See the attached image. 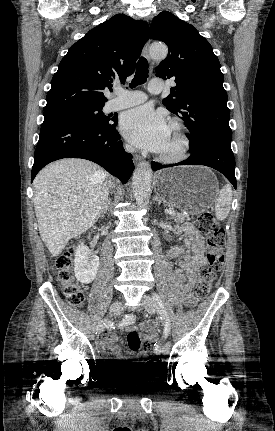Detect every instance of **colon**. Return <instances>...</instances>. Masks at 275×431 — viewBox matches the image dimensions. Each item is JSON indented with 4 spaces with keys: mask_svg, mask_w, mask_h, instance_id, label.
I'll list each match as a JSON object with an SVG mask.
<instances>
[{
    "mask_svg": "<svg viewBox=\"0 0 275 431\" xmlns=\"http://www.w3.org/2000/svg\"><path fill=\"white\" fill-rule=\"evenodd\" d=\"M198 227L207 236V263L200 268L196 285V296L205 298L210 291L216 272L221 268L224 261L225 235L224 230L215 220L212 214L202 213L198 217ZM73 255L70 250L59 256L56 262L55 275L61 291L68 302L74 306H80L85 299L83 287L75 280L73 275ZM127 343L131 351L149 353L152 344L143 341L137 331H130L127 335ZM154 365L156 358L149 361Z\"/></svg>",
    "mask_w": 275,
    "mask_h": 431,
    "instance_id": "obj_1",
    "label": "colon"
}]
</instances>
